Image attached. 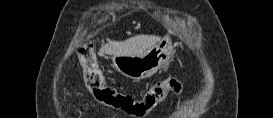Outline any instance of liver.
<instances>
[{"instance_id":"obj_1","label":"liver","mask_w":273,"mask_h":118,"mask_svg":"<svg viewBox=\"0 0 273 118\" xmlns=\"http://www.w3.org/2000/svg\"><path fill=\"white\" fill-rule=\"evenodd\" d=\"M155 35H136L124 41H109L101 47V52L108 55L136 56L153 47L160 41Z\"/></svg>"}]
</instances>
